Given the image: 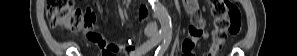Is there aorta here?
<instances>
[{
    "label": "aorta",
    "instance_id": "762f6f07",
    "mask_svg": "<svg viewBox=\"0 0 297 56\" xmlns=\"http://www.w3.org/2000/svg\"><path fill=\"white\" fill-rule=\"evenodd\" d=\"M153 11L160 22L161 31L164 34L172 33L171 18L167 9L159 2V0H151Z\"/></svg>",
    "mask_w": 297,
    "mask_h": 56
}]
</instances>
